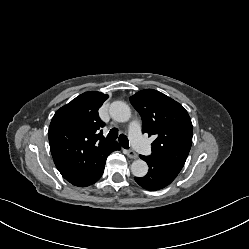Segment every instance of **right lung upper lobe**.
<instances>
[{"mask_svg":"<svg viewBox=\"0 0 249 249\" xmlns=\"http://www.w3.org/2000/svg\"><path fill=\"white\" fill-rule=\"evenodd\" d=\"M107 98L101 92L83 93L61 107L51 120L48 133L54 163L73 185L84 184L100 157L116 143L99 132L104 123L98 109Z\"/></svg>","mask_w":249,"mask_h":249,"instance_id":"1","label":"right lung upper lobe"}]
</instances>
